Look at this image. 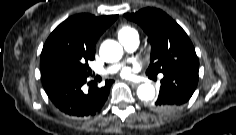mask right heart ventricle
I'll return each instance as SVG.
<instances>
[{"instance_id": "e07e8e85", "label": "right heart ventricle", "mask_w": 236, "mask_h": 135, "mask_svg": "<svg viewBox=\"0 0 236 135\" xmlns=\"http://www.w3.org/2000/svg\"><path fill=\"white\" fill-rule=\"evenodd\" d=\"M117 36L119 38L120 41L134 37V36H138V32L137 30L132 27L131 25H122L117 29Z\"/></svg>"}]
</instances>
